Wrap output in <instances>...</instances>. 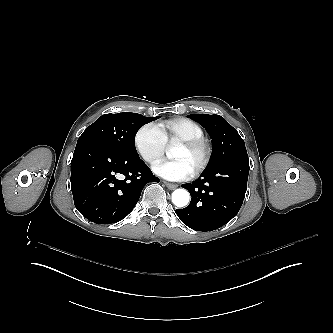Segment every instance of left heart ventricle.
Listing matches in <instances>:
<instances>
[{
    "mask_svg": "<svg viewBox=\"0 0 333 333\" xmlns=\"http://www.w3.org/2000/svg\"><path fill=\"white\" fill-rule=\"evenodd\" d=\"M176 159L189 163L195 169L198 161V156L183 145L177 153Z\"/></svg>",
    "mask_w": 333,
    "mask_h": 333,
    "instance_id": "left-heart-ventricle-1",
    "label": "left heart ventricle"
}]
</instances>
